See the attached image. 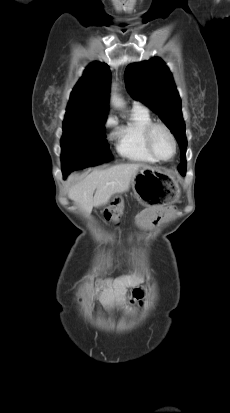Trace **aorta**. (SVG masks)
Instances as JSON below:
<instances>
[{"label": "aorta", "instance_id": "1", "mask_svg": "<svg viewBox=\"0 0 230 413\" xmlns=\"http://www.w3.org/2000/svg\"><path fill=\"white\" fill-rule=\"evenodd\" d=\"M112 102L114 104V106L116 107H122L123 106V101L118 98L117 96L112 97Z\"/></svg>", "mask_w": 230, "mask_h": 413}]
</instances>
